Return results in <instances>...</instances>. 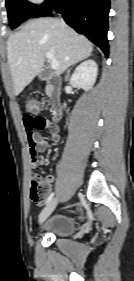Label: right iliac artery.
Returning a JSON list of instances; mask_svg holds the SVG:
<instances>
[{
    "label": "right iliac artery",
    "instance_id": "82829eb1",
    "mask_svg": "<svg viewBox=\"0 0 134 281\" xmlns=\"http://www.w3.org/2000/svg\"><path fill=\"white\" fill-rule=\"evenodd\" d=\"M53 196H54V192L49 195V197L47 198L46 204L52 200Z\"/></svg>",
    "mask_w": 134,
    "mask_h": 281
}]
</instances>
